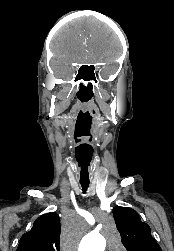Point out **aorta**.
Instances as JSON below:
<instances>
[{
    "label": "aorta",
    "instance_id": "aorta-1",
    "mask_svg": "<svg viewBox=\"0 0 174 251\" xmlns=\"http://www.w3.org/2000/svg\"><path fill=\"white\" fill-rule=\"evenodd\" d=\"M106 238L100 234L86 235L79 245L78 251H104L106 243L115 251L120 250V239L116 229L106 231Z\"/></svg>",
    "mask_w": 174,
    "mask_h": 251
}]
</instances>
